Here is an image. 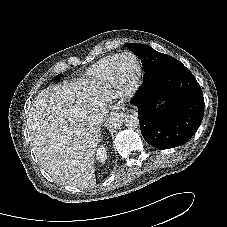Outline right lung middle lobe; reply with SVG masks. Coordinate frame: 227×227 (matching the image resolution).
I'll return each instance as SVG.
<instances>
[{"mask_svg": "<svg viewBox=\"0 0 227 227\" xmlns=\"http://www.w3.org/2000/svg\"><path fill=\"white\" fill-rule=\"evenodd\" d=\"M60 77H61V74H60V75H58V76H56V77L54 78V80H55L56 82H58V81H59V79H60Z\"/></svg>", "mask_w": 227, "mask_h": 227, "instance_id": "1", "label": "right lung middle lobe"}]
</instances>
